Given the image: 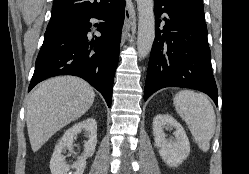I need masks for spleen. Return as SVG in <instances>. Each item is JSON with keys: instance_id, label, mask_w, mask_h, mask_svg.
Masks as SVG:
<instances>
[{"instance_id": "1", "label": "spleen", "mask_w": 249, "mask_h": 174, "mask_svg": "<svg viewBox=\"0 0 249 174\" xmlns=\"http://www.w3.org/2000/svg\"><path fill=\"white\" fill-rule=\"evenodd\" d=\"M173 103L199 148L207 152L216 128L214 108L208 98L201 93L182 90L175 95Z\"/></svg>"}]
</instances>
